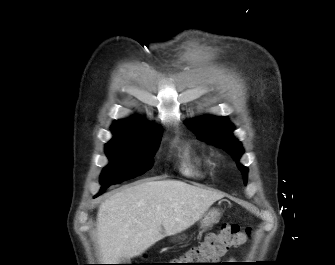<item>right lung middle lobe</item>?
<instances>
[{"mask_svg": "<svg viewBox=\"0 0 335 265\" xmlns=\"http://www.w3.org/2000/svg\"><path fill=\"white\" fill-rule=\"evenodd\" d=\"M114 135V139L105 147L110 164L101 173L102 187L98 195L104 193L110 185L142 175L149 170L161 139L158 129L121 130L114 132Z\"/></svg>", "mask_w": 335, "mask_h": 265, "instance_id": "dd1d6c3e", "label": "right lung middle lobe"}]
</instances>
